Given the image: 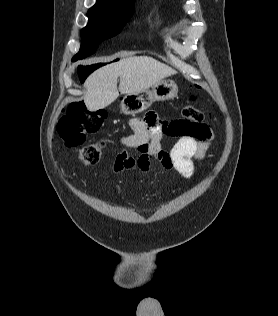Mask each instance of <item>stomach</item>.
<instances>
[{"mask_svg": "<svg viewBox=\"0 0 278 316\" xmlns=\"http://www.w3.org/2000/svg\"><path fill=\"white\" fill-rule=\"evenodd\" d=\"M178 87L172 80H160L139 93L127 94L121 101V111L127 115H135L148 109L155 101H165L177 95Z\"/></svg>", "mask_w": 278, "mask_h": 316, "instance_id": "1", "label": "stomach"}]
</instances>
